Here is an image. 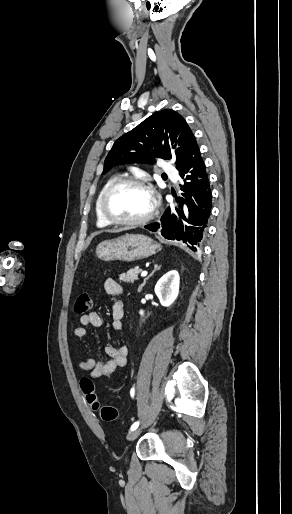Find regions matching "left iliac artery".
I'll list each match as a JSON object with an SVG mask.
<instances>
[{"instance_id":"obj_1","label":"left iliac artery","mask_w":292,"mask_h":514,"mask_svg":"<svg viewBox=\"0 0 292 514\" xmlns=\"http://www.w3.org/2000/svg\"><path fill=\"white\" fill-rule=\"evenodd\" d=\"M130 393H131V396H134V388L131 389ZM138 426H139V422L138 421L133 423L131 428H130V431H134L135 429L138 428Z\"/></svg>"}]
</instances>
